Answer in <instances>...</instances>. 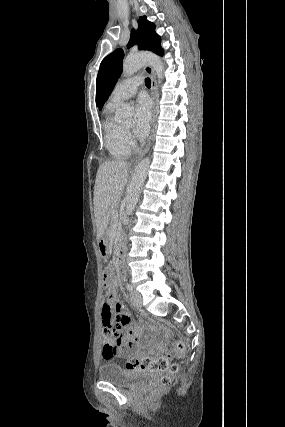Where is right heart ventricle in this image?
<instances>
[{
  "label": "right heart ventricle",
  "instance_id": "obj_1",
  "mask_svg": "<svg viewBox=\"0 0 285 427\" xmlns=\"http://www.w3.org/2000/svg\"><path fill=\"white\" fill-rule=\"evenodd\" d=\"M118 104L108 103L105 108L103 122L104 144L113 159H126L130 156L133 146L128 142L124 125L115 120L113 112Z\"/></svg>",
  "mask_w": 285,
  "mask_h": 427
}]
</instances>
